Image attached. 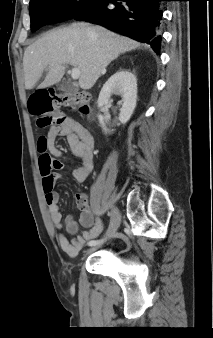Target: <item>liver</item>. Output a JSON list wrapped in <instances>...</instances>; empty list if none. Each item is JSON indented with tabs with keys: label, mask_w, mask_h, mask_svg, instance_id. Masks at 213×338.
I'll return each mask as SVG.
<instances>
[{
	"label": "liver",
	"mask_w": 213,
	"mask_h": 338,
	"mask_svg": "<svg viewBox=\"0 0 213 338\" xmlns=\"http://www.w3.org/2000/svg\"><path fill=\"white\" fill-rule=\"evenodd\" d=\"M140 47L135 40L86 23L49 31L24 52L25 88L32 89L44 70L48 72L40 88L58 83L70 64L80 70L79 86L91 89L111 61Z\"/></svg>",
	"instance_id": "1"
}]
</instances>
